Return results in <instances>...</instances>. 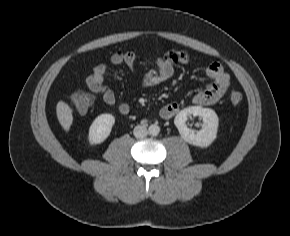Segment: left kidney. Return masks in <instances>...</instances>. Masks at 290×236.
Instances as JSON below:
<instances>
[{"instance_id": "1", "label": "left kidney", "mask_w": 290, "mask_h": 236, "mask_svg": "<svg viewBox=\"0 0 290 236\" xmlns=\"http://www.w3.org/2000/svg\"><path fill=\"white\" fill-rule=\"evenodd\" d=\"M191 115L202 118L203 124L200 131L195 132L186 125L187 118ZM174 124L186 142L198 147H208L217 137L219 119L215 111L210 108L191 106L176 115Z\"/></svg>"}]
</instances>
